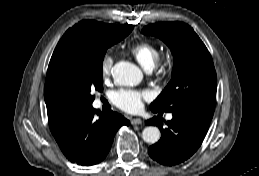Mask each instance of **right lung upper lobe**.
<instances>
[{"label": "right lung upper lobe", "instance_id": "obj_1", "mask_svg": "<svg viewBox=\"0 0 259 176\" xmlns=\"http://www.w3.org/2000/svg\"><path fill=\"white\" fill-rule=\"evenodd\" d=\"M134 27L133 25H111L93 20H84L67 30L51 57L45 87L44 98L47 106V114L49 123L54 122L59 116L66 111L81 108L77 102L74 88L69 82L65 74L62 72L58 63V50L64 38L75 29H85L93 34H115Z\"/></svg>", "mask_w": 259, "mask_h": 176}]
</instances>
